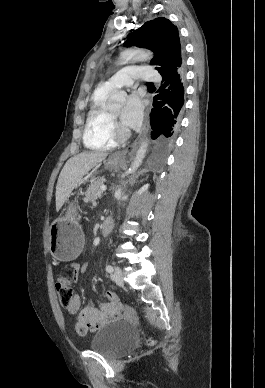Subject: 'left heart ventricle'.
Instances as JSON below:
<instances>
[{
  "label": "left heart ventricle",
  "instance_id": "b2bd125f",
  "mask_svg": "<svg viewBox=\"0 0 265 388\" xmlns=\"http://www.w3.org/2000/svg\"><path fill=\"white\" fill-rule=\"evenodd\" d=\"M133 88V84L132 86H117L113 89V91H131V89ZM109 97H110V94H109ZM112 115L118 117L120 114H121V109L120 110H117V111H113V112H110Z\"/></svg>",
  "mask_w": 265,
  "mask_h": 388
}]
</instances>
